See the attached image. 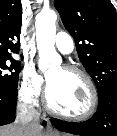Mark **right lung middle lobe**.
I'll list each match as a JSON object with an SVG mask.
<instances>
[{
  "instance_id": "dd1d6c3e",
  "label": "right lung middle lobe",
  "mask_w": 117,
  "mask_h": 136,
  "mask_svg": "<svg viewBox=\"0 0 117 136\" xmlns=\"http://www.w3.org/2000/svg\"><path fill=\"white\" fill-rule=\"evenodd\" d=\"M20 68L11 56H0V89L17 90Z\"/></svg>"
}]
</instances>
